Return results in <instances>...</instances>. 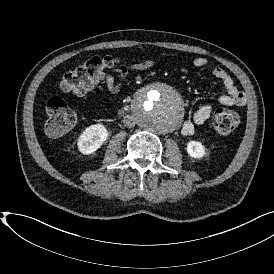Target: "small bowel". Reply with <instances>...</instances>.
<instances>
[{
  "label": "small bowel",
  "instance_id": "c3829d8e",
  "mask_svg": "<svg viewBox=\"0 0 274 274\" xmlns=\"http://www.w3.org/2000/svg\"><path fill=\"white\" fill-rule=\"evenodd\" d=\"M208 60L204 57H197L193 60V66L196 68H203L208 65ZM156 61L153 59L145 60L129 65H120L116 68L115 74L105 73L101 74L99 78L93 79L85 85H80L74 89L76 96H82L99 88L104 83L109 92H118L124 85L128 75L133 72L145 70L153 67ZM212 75L221 81L226 94L219 97V103L223 106H243L247 102V95L244 91L239 89L235 84L233 78L220 66L212 68ZM213 107L210 104L200 106L194 113L193 117L184 121L182 125V133L184 135H192L197 126L204 124L211 116Z\"/></svg>",
  "mask_w": 274,
  "mask_h": 274
}]
</instances>
